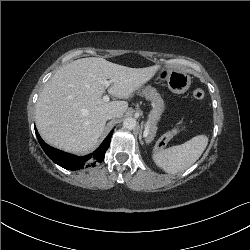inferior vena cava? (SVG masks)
Instances as JSON below:
<instances>
[{
	"instance_id": "inferior-vena-cava-1",
	"label": "inferior vena cava",
	"mask_w": 250,
	"mask_h": 250,
	"mask_svg": "<svg viewBox=\"0 0 250 250\" xmlns=\"http://www.w3.org/2000/svg\"><path fill=\"white\" fill-rule=\"evenodd\" d=\"M118 117V112L115 110H111L106 114V119L110 120L112 118Z\"/></svg>"
}]
</instances>
